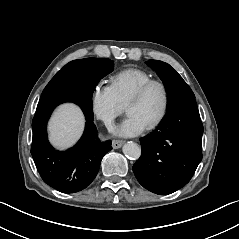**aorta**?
Listing matches in <instances>:
<instances>
[{"mask_svg":"<svg viewBox=\"0 0 239 239\" xmlns=\"http://www.w3.org/2000/svg\"><path fill=\"white\" fill-rule=\"evenodd\" d=\"M123 153L126 155L127 158L137 160L141 156V147L136 143L129 142L124 145Z\"/></svg>","mask_w":239,"mask_h":239,"instance_id":"1","label":"aorta"}]
</instances>
